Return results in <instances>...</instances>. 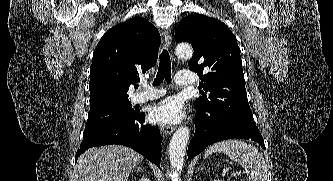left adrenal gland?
<instances>
[{
  "mask_svg": "<svg viewBox=\"0 0 333 181\" xmlns=\"http://www.w3.org/2000/svg\"><path fill=\"white\" fill-rule=\"evenodd\" d=\"M200 170H204V167L202 166ZM209 172V170H207Z\"/></svg>",
  "mask_w": 333,
  "mask_h": 181,
  "instance_id": "left-adrenal-gland-1",
  "label": "left adrenal gland"
}]
</instances>
